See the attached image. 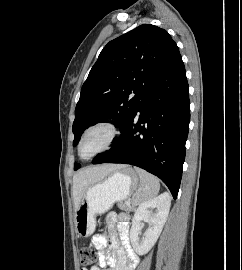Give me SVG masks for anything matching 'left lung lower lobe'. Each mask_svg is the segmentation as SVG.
I'll list each match as a JSON object with an SVG mask.
<instances>
[{"mask_svg": "<svg viewBox=\"0 0 242 270\" xmlns=\"http://www.w3.org/2000/svg\"><path fill=\"white\" fill-rule=\"evenodd\" d=\"M189 87L181 55L156 78L110 150L93 164L124 163L158 176L176 199L190 122Z\"/></svg>", "mask_w": 242, "mask_h": 270, "instance_id": "0a47b994", "label": "left lung lower lobe"}]
</instances>
